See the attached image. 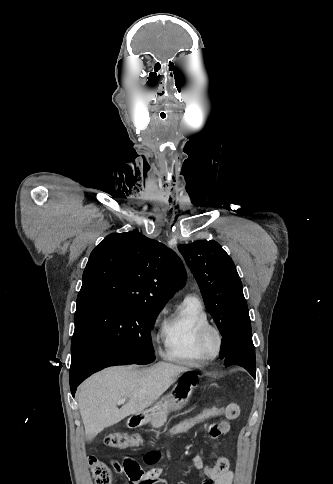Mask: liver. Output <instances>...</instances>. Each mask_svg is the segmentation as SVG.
Masks as SVG:
<instances>
[{"label": "liver", "mask_w": 333, "mask_h": 484, "mask_svg": "<svg viewBox=\"0 0 333 484\" xmlns=\"http://www.w3.org/2000/svg\"><path fill=\"white\" fill-rule=\"evenodd\" d=\"M188 370V367L161 361L151 367H110L92 375L77 392L86 435L92 439L106 427L141 413ZM122 398L128 402L118 409L117 401Z\"/></svg>", "instance_id": "1"}]
</instances>
